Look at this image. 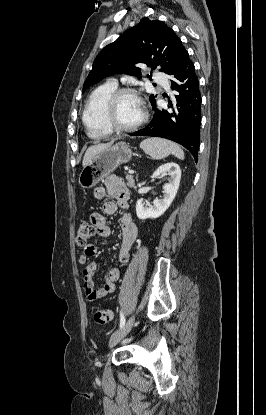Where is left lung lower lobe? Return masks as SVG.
Listing matches in <instances>:
<instances>
[{
  "label": "left lung lower lobe",
  "mask_w": 266,
  "mask_h": 415,
  "mask_svg": "<svg viewBox=\"0 0 266 415\" xmlns=\"http://www.w3.org/2000/svg\"><path fill=\"white\" fill-rule=\"evenodd\" d=\"M171 89L176 91L174 105L155 110L153 119L132 136H152L172 140L184 146L198 158L201 125V94L194 64L189 55L171 77Z\"/></svg>",
  "instance_id": "obj_1"
}]
</instances>
